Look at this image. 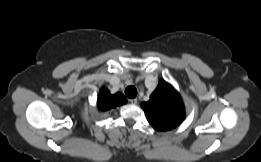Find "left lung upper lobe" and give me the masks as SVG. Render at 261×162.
I'll use <instances>...</instances> for the list:
<instances>
[{"label": "left lung upper lobe", "instance_id": "1", "mask_svg": "<svg viewBox=\"0 0 261 162\" xmlns=\"http://www.w3.org/2000/svg\"><path fill=\"white\" fill-rule=\"evenodd\" d=\"M147 120L158 131L171 130L184 120L185 110L180 94L167 82H159L150 100L143 102Z\"/></svg>", "mask_w": 261, "mask_h": 162}]
</instances>
